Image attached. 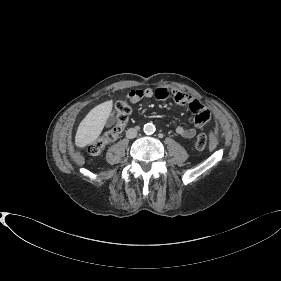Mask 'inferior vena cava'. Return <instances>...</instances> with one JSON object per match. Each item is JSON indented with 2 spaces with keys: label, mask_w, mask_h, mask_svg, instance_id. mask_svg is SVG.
Here are the masks:
<instances>
[{
  "label": "inferior vena cava",
  "mask_w": 281,
  "mask_h": 281,
  "mask_svg": "<svg viewBox=\"0 0 281 281\" xmlns=\"http://www.w3.org/2000/svg\"><path fill=\"white\" fill-rule=\"evenodd\" d=\"M137 136V130L130 128L126 131V137L129 139L135 138Z\"/></svg>",
  "instance_id": "602c4592"
}]
</instances>
